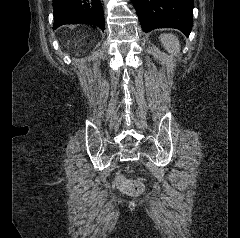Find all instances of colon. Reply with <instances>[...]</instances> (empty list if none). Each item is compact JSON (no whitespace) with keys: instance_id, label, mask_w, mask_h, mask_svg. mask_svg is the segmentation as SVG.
Returning <instances> with one entry per match:
<instances>
[{"instance_id":"1","label":"colon","mask_w":240,"mask_h":238,"mask_svg":"<svg viewBox=\"0 0 240 238\" xmlns=\"http://www.w3.org/2000/svg\"><path fill=\"white\" fill-rule=\"evenodd\" d=\"M117 186L129 195H138L143 191V184L139 180L127 179L123 176L117 178Z\"/></svg>"}]
</instances>
